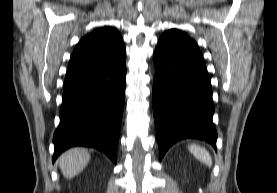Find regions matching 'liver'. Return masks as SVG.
I'll return each instance as SVG.
<instances>
[{
    "instance_id": "6515ba94",
    "label": "liver",
    "mask_w": 277,
    "mask_h": 193,
    "mask_svg": "<svg viewBox=\"0 0 277 193\" xmlns=\"http://www.w3.org/2000/svg\"><path fill=\"white\" fill-rule=\"evenodd\" d=\"M90 154L86 149L73 148L63 153L59 159V167L65 178H73L89 163Z\"/></svg>"
}]
</instances>
